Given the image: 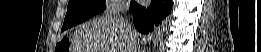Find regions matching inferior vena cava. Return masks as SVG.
I'll return each mask as SVG.
<instances>
[{
    "instance_id": "obj_1",
    "label": "inferior vena cava",
    "mask_w": 261,
    "mask_h": 52,
    "mask_svg": "<svg viewBox=\"0 0 261 52\" xmlns=\"http://www.w3.org/2000/svg\"><path fill=\"white\" fill-rule=\"evenodd\" d=\"M127 6L124 5L122 6V10H126ZM121 23L122 25H124L126 31L129 33V35L133 38V28L131 26V15L125 16V17H120ZM134 52H139V48H135V50H133Z\"/></svg>"
}]
</instances>
